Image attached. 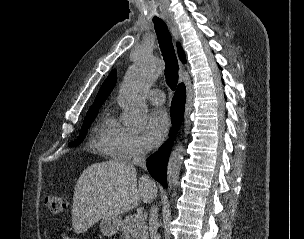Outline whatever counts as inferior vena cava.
Returning a JSON list of instances; mask_svg holds the SVG:
<instances>
[{
  "label": "inferior vena cava",
  "instance_id": "inferior-vena-cava-1",
  "mask_svg": "<svg viewBox=\"0 0 304 239\" xmlns=\"http://www.w3.org/2000/svg\"><path fill=\"white\" fill-rule=\"evenodd\" d=\"M146 150L144 148H139L132 160L131 166H140L142 168H146ZM148 182L152 183V181L148 178V176H144ZM158 229V208L153 205L150 210V218H149V231H150V239H160L157 234Z\"/></svg>",
  "mask_w": 304,
  "mask_h": 239
}]
</instances>
